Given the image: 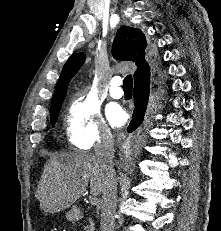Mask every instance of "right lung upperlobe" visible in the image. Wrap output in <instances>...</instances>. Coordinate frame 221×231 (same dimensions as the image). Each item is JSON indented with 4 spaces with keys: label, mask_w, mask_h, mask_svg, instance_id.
<instances>
[{
    "label": "right lung upper lobe",
    "mask_w": 221,
    "mask_h": 231,
    "mask_svg": "<svg viewBox=\"0 0 221 231\" xmlns=\"http://www.w3.org/2000/svg\"><path fill=\"white\" fill-rule=\"evenodd\" d=\"M147 42L143 32L129 26L119 28L113 42L112 52L118 60L132 61L137 65L134 73V86L150 80L151 68L147 63ZM85 61L84 53H74L64 65L57 87L54 92L52 106L55 107L65 98L67 85Z\"/></svg>",
    "instance_id": "cb5924a9"
}]
</instances>
